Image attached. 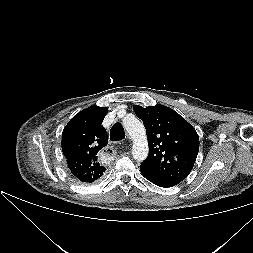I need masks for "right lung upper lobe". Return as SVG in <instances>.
<instances>
[{
    "instance_id": "right-lung-upper-lobe-1",
    "label": "right lung upper lobe",
    "mask_w": 253,
    "mask_h": 253,
    "mask_svg": "<svg viewBox=\"0 0 253 253\" xmlns=\"http://www.w3.org/2000/svg\"><path fill=\"white\" fill-rule=\"evenodd\" d=\"M108 109L91 106L76 114L62 133V151L71 174L82 183L100 179L106 168L97 160V153L108 144L102 126Z\"/></svg>"
}]
</instances>
